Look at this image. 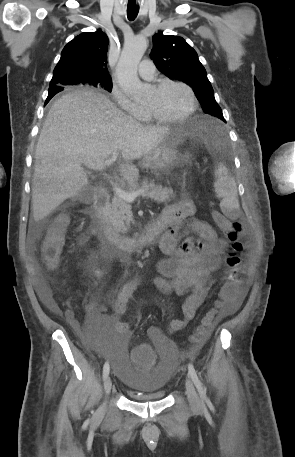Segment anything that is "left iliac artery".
<instances>
[{"label": "left iliac artery", "mask_w": 295, "mask_h": 457, "mask_svg": "<svg viewBox=\"0 0 295 457\" xmlns=\"http://www.w3.org/2000/svg\"><path fill=\"white\" fill-rule=\"evenodd\" d=\"M188 372H189V375L193 381V383L195 384L198 392H199V395L201 397L202 400L204 401H208V397L206 395V392L203 388V385H202V382L199 380L198 376H197V373H196V370L194 368V366L192 364H188Z\"/></svg>", "instance_id": "44dca946"}]
</instances>
